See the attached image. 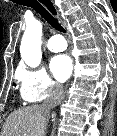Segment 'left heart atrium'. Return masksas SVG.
I'll return each mask as SVG.
<instances>
[{
  "mask_svg": "<svg viewBox=\"0 0 117 136\" xmlns=\"http://www.w3.org/2000/svg\"><path fill=\"white\" fill-rule=\"evenodd\" d=\"M50 66L55 78L60 82L67 80L72 71L71 60L64 54L55 56L51 60Z\"/></svg>",
  "mask_w": 117,
  "mask_h": 136,
  "instance_id": "obj_1",
  "label": "left heart atrium"
}]
</instances>
